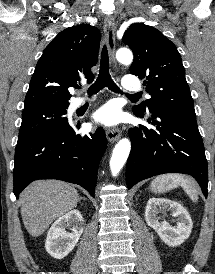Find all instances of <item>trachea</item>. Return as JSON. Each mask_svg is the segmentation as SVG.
Masks as SVG:
<instances>
[{
  "mask_svg": "<svg viewBox=\"0 0 215 274\" xmlns=\"http://www.w3.org/2000/svg\"><path fill=\"white\" fill-rule=\"evenodd\" d=\"M104 87H108L113 92H121L118 86L114 83L112 80L110 73H109V56L107 47L104 46L101 52V61H100V70L99 75L95 83L90 86L88 89V94L93 95L97 92H99ZM77 89H80V86L76 87ZM122 93V92H121ZM128 97H140L139 93L130 95L127 94Z\"/></svg>",
  "mask_w": 215,
  "mask_h": 274,
  "instance_id": "3493384b",
  "label": "trachea"
}]
</instances>
